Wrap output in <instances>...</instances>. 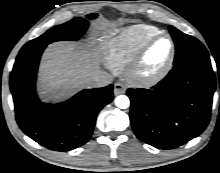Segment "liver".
Wrapping results in <instances>:
<instances>
[{"label":"liver","instance_id":"1","mask_svg":"<svg viewBox=\"0 0 220 173\" xmlns=\"http://www.w3.org/2000/svg\"><path fill=\"white\" fill-rule=\"evenodd\" d=\"M100 71L91 49L72 42H54L41 58L39 95L44 102L64 100L83 88H89L90 78Z\"/></svg>","mask_w":220,"mask_h":173}]
</instances>
